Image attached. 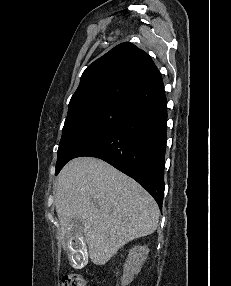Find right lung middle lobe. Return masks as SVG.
<instances>
[{
	"label": "right lung middle lobe",
	"mask_w": 231,
	"mask_h": 286,
	"mask_svg": "<svg viewBox=\"0 0 231 286\" xmlns=\"http://www.w3.org/2000/svg\"><path fill=\"white\" fill-rule=\"evenodd\" d=\"M130 113V107L123 103L103 101L68 114L58 148L55 174L85 146Z\"/></svg>",
	"instance_id": "right-lung-middle-lobe-1"
}]
</instances>
